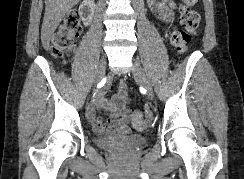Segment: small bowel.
I'll use <instances>...</instances> for the list:
<instances>
[{"instance_id": "obj_1", "label": "small bowel", "mask_w": 244, "mask_h": 179, "mask_svg": "<svg viewBox=\"0 0 244 179\" xmlns=\"http://www.w3.org/2000/svg\"><path fill=\"white\" fill-rule=\"evenodd\" d=\"M163 19L166 18V13L162 14ZM127 91L128 85L125 82H120L118 90L109 99L99 97L98 106L107 113L105 121L96 117L94 110L89 111V116L96 128L100 131L111 134L115 132L127 133L129 130L130 116L127 112ZM133 116H141L134 114ZM145 121H152V116H145ZM136 130H142L144 126H133Z\"/></svg>"}]
</instances>
